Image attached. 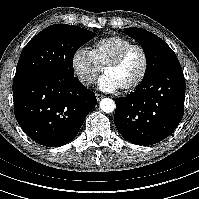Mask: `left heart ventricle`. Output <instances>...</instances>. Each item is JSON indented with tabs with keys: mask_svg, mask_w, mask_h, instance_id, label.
Listing matches in <instances>:
<instances>
[{
	"mask_svg": "<svg viewBox=\"0 0 199 199\" xmlns=\"http://www.w3.org/2000/svg\"><path fill=\"white\" fill-rule=\"evenodd\" d=\"M143 68V55L137 48L127 53L121 63L112 69H107L104 75L109 76L122 88L132 83L141 73Z\"/></svg>",
	"mask_w": 199,
	"mask_h": 199,
	"instance_id": "b2bd125f",
	"label": "left heart ventricle"
}]
</instances>
